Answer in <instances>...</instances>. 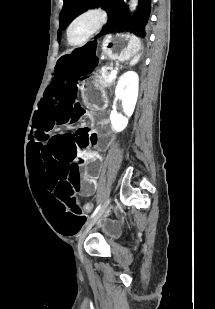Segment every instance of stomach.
<instances>
[{
  "label": "stomach",
  "instance_id": "1",
  "mask_svg": "<svg viewBox=\"0 0 215 309\" xmlns=\"http://www.w3.org/2000/svg\"><path fill=\"white\" fill-rule=\"evenodd\" d=\"M102 55L111 61L125 62L135 57L141 49L140 39L132 34L119 32L105 36L101 43ZM83 94L94 103L104 100L105 94L99 75L87 79L82 86Z\"/></svg>",
  "mask_w": 215,
  "mask_h": 309
}]
</instances>
